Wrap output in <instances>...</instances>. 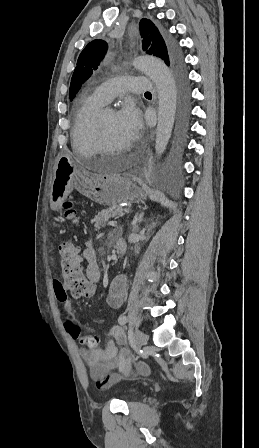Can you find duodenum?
Returning <instances> with one entry per match:
<instances>
[{"instance_id": "1", "label": "duodenum", "mask_w": 259, "mask_h": 448, "mask_svg": "<svg viewBox=\"0 0 259 448\" xmlns=\"http://www.w3.org/2000/svg\"><path fill=\"white\" fill-rule=\"evenodd\" d=\"M125 251H126L125 242L122 240H119L117 242V252H118L119 257H122L124 255Z\"/></svg>"}]
</instances>
